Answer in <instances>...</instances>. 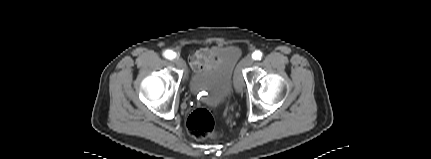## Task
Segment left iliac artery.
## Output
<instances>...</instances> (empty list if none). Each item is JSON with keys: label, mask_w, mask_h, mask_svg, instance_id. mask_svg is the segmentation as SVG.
<instances>
[{"label": "left iliac artery", "mask_w": 431, "mask_h": 159, "mask_svg": "<svg viewBox=\"0 0 431 159\" xmlns=\"http://www.w3.org/2000/svg\"><path fill=\"white\" fill-rule=\"evenodd\" d=\"M252 58L254 60H260L262 58V52H260L259 50L253 52Z\"/></svg>", "instance_id": "44dca946"}]
</instances>
